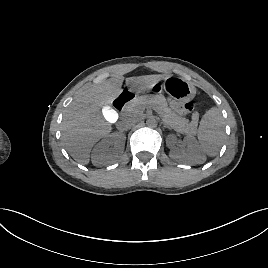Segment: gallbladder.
Here are the masks:
<instances>
[{
	"instance_id": "1",
	"label": "gallbladder",
	"mask_w": 268,
	"mask_h": 268,
	"mask_svg": "<svg viewBox=\"0 0 268 268\" xmlns=\"http://www.w3.org/2000/svg\"><path fill=\"white\" fill-rule=\"evenodd\" d=\"M101 115L109 123H116L119 120V113L117 109L111 105H104L101 108Z\"/></svg>"
}]
</instances>
